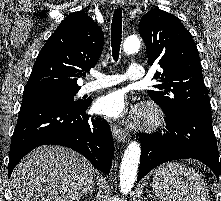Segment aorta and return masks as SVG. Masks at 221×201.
I'll use <instances>...</instances> for the list:
<instances>
[{
	"instance_id": "aorta-1",
	"label": "aorta",
	"mask_w": 221,
	"mask_h": 201,
	"mask_svg": "<svg viewBox=\"0 0 221 201\" xmlns=\"http://www.w3.org/2000/svg\"><path fill=\"white\" fill-rule=\"evenodd\" d=\"M140 47V40L135 35L127 37L123 44V50L126 54L136 53ZM140 154V144L136 141L130 142L124 152L120 168V188L122 194L126 195L134 186L140 162Z\"/></svg>"
}]
</instances>
